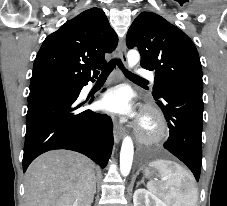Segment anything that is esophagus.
I'll return each mask as SVG.
<instances>
[{"label":"esophagus","mask_w":227,"mask_h":206,"mask_svg":"<svg viewBox=\"0 0 227 206\" xmlns=\"http://www.w3.org/2000/svg\"><path fill=\"white\" fill-rule=\"evenodd\" d=\"M118 53L120 56V59L123 63L126 62L127 56H126V44L125 40L121 39L118 45ZM120 76V74H119ZM125 134V129L122 125H120L116 120H114V138L116 142H119Z\"/></svg>","instance_id":"esophagus-1"}]
</instances>
